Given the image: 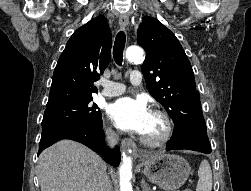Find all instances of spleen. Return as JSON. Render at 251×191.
Wrapping results in <instances>:
<instances>
[{"mask_svg": "<svg viewBox=\"0 0 251 191\" xmlns=\"http://www.w3.org/2000/svg\"><path fill=\"white\" fill-rule=\"evenodd\" d=\"M198 183L196 191H211L212 189V169L207 159H202L198 169Z\"/></svg>", "mask_w": 251, "mask_h": 191, "instance_id": "spleen-1", "label": "spleen"}]
</instances>
